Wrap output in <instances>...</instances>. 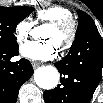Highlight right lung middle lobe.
<instances>
[{"label": "right lung middle lobe", "mask_w": 103, "mask_h": 103, "mask_svg": "<svg viewBox=\"0 0 103 103\" xmlns=\"http://www.w3.org/2000/svg\"><path fill=\"white\" fill-rule=\"evenodd\" d=\"M33 11L32 7H0V48L10 49L18 46L14 31L17 24Z\"/></svg>", "instance_id": "dd1d6c3e"}]
</instances>
